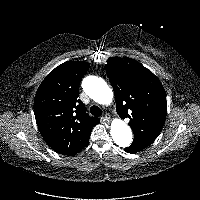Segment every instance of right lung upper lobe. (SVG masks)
<instances>
[{
  "label": "right lung upper lobe",
  "instance_id": "obj_1",
  "mask_svg": "<svg viewBox=\"0 0 200 200\" xmlns=\"http://www.w3.org/2000/svg\"><path fill=\"white\" fill-rule=\"evenodd\" d=\"M90 64L67 61L52 70L39 86L34 114L45 142L56 152L73 156L89 141L99 123L86 113L79 97V83Z\"/></svg>",
  "mask_w": 200,
  "mask_h": 200
}]
</instances>
